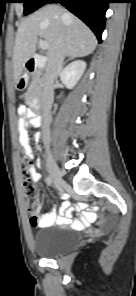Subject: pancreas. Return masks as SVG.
<instances>
[{"label":"pancreas","mask_w":136,"mask_h":296,"mask_svg":"<svg viewBox=\"0 0 136 296\" xmlns=\"http://www.w3.org/2000/svg\"><path fill=\"white\" fill-rule=\"evenodd\" d=\"M42 85H43V78L40 76V73L37 72L33 75L32 82L26 93V98L38 99L42 90Z\"/></svg>","instance_id":"1"}]
</instances>
